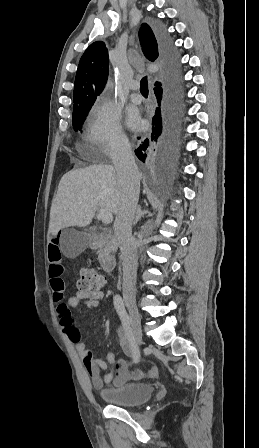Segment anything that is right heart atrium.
Returning <instances> with one entry per match:
<instances>
[{
	"label": "right heart atrium",
	"mask_w": 259,
	"mask_h": 448,
	"mask_svg": "<svg viewBox=\"0 0 259 448\" xmlns=\"http://www.w3.org/2000/svg\"><path fill=\"white\" fill-rule=\"evenodd\" d=\"M90 150L110 152L112 157L126 147L127 139L117 112L104 100L97 99L90 109L85 136Z\"/></svg>",
	"instance_id": "d8ad5b80"
}]
</instances>
